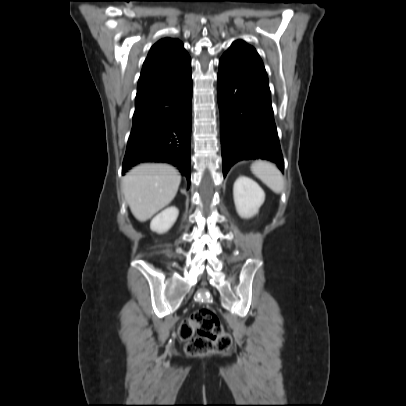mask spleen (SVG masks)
I'll list each match as a JSON object with an SVG mask.
<instances>
[{"instance_id": "spleen-1", "label": "spleen", "mask_w": 406, "mask_h": 406, "mask_svg": "<svg viewBox=\"0 0 406 406\" xmlns=\"http://www.w3.org/2000/svg\"><path fill=\"white\" fill-rule=\"evenodd\" d=\"M251 171L275 193L283 190L284 179L274 164L267 161H256L252 164Z\"/></svg>"}]
</instances>
